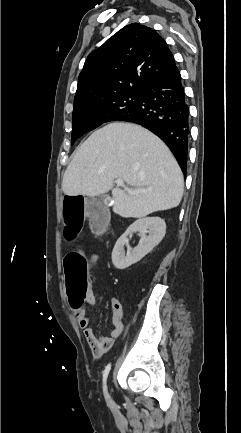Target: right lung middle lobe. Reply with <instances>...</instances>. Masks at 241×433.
<instances>
[{"label": "right lung middle lobe", "mask_w": 241, "mask_h": 433, "mask_svg": "<svg viewBox=\"0 0 241 433\" xmlns=\"http://www.w3.org/2000/svg\"><path fill=\"white\" fill-rule=\"evenodd\" d=\"M141 98V91H127L74 104L71 144L103 123L120 120L139 105Z\"/></svg>", "instance_id": "1"}]
</instances>
